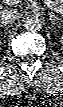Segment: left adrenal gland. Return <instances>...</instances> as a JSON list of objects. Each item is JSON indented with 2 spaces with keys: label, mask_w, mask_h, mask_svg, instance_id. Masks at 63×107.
<instances>
[{
  "label": "left adrenal gland",
  "mask_w": 63,
  "mask_h": 107,
  "mask_svg": "<svg viewBox=\"0 0 63 107\" xmlns=\"http://www.w3.org/2000/svg\"><path fill=\"white\" fill-rule=\"evenodd\" d=\"M49 19L53 22V24H55V22L57 21H62L61 18H58L57 16L52 15V14H49Z\"/></svg>",
  "instance_id": "obj_1"
}]
</instances>
